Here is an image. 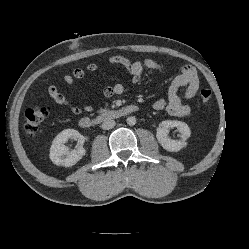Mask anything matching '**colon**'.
<instances>
[{
    "mask_svg": "<svg viewBox=\"0 0 249 249\" xmlns=\"http://www.w3.org/2000/svg\"><path fill=\"white\" fill-rule=\"evenodd\" d=\"M202 101L208 102L212 93L209 89H202L200 92ZM49 114V108L45 106H34L25 113V131L29 136H35Z\"/></svg>",
    "mask_w": 249,
    "mask_h": 249,
    "instance_id": "1",
    "label": "colon"
}]
</instances>
